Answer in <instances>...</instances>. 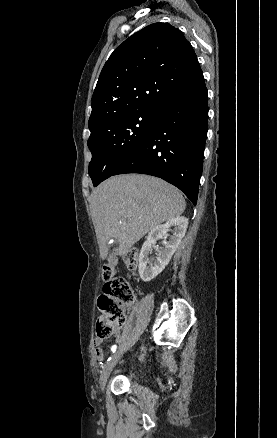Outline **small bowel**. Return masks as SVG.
<instances>
[{
	"label": "small bowel",
	"mask_w": 277,
	"mask_h": 438,
	"mask_svg": "<svg viewBox=\"0 0 277 438\" xmlns=\"http://www.w3.org/2000/svg\"><path fill=\"white\" fill-rule=\"evenodd\" d=\"M112 336H113V338H114L116 344H121V342H122V335H121L120 330H116V331H114L113 334H112ZM101 342H102V340L94 339V340H93V345H94V346H99V345L101 344ZM99 352H100L101 355H102V350H101V348H100L99 350H96V352H95L97 358H98V353H99ZM99 360H102V357H99Z\"/></svg>",
	"instance_id": "small-bowel-1"
}]
</instances>
